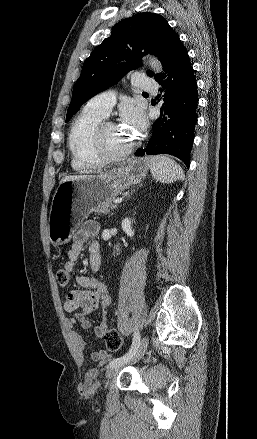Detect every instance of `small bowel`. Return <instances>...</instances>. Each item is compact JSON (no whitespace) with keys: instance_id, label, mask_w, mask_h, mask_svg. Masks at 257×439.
Returning <instances> with one entry per match:
<instances>
[{"instance_id":"small-bowel-1","label":"small bowel","mask_w":257,"mask_h":439,"mask_svg":"<svg viewBox=\"0 0 257 439\" xmlns=\"http://www.w3.org/2000/svg\"><path fill=\"white\" fill-rule=\"evenodd\" d=\"M99 232V224L95 221H86L82 227L73 235L70 249L67 252V261L64 263L63 269L68 273L75 270L76 262L83 250L84 244L91 239L88 245V261L92 272L97 273L101 267V255L99 243L93 239ZM77 284L81 287L79 290H72L67 294L64 302V309L71 313L69 324L73 328L75 324H79L83 329H89L91 322L86 318L93 312L104 314L106 308L111 303V297L108 292L107 285L97 276L78 275L76 277ZM107 330V324L102 319L94 327V333L98 339H101ZM70 336L76 346L79 355L83 358L86 343L82 336L71 330ZM91 360L98 364L107 363L111 355L102 349L93 351L90 355ZM95 374V370L91 369L87 373V377Z\"/></svg>"}]
</instances>
